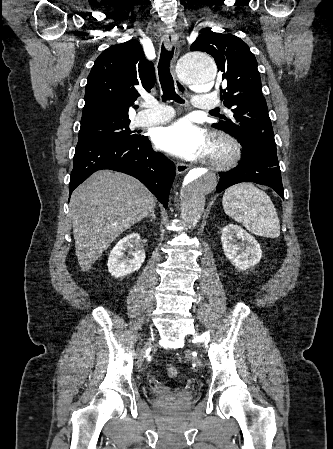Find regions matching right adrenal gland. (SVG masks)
<instances>
[{"label":"right adrenal gland","mask_w":333,"mask_h":449,"mask_svg":"<svg viewBox=\"0 0 333 449\" xmlns=\"http://www.w3.org/2000/svg\"><path fill=\"white\" fill-rule=\"evenodd\" d=\"M149 217H151L152 219H156L155 211H154V210L151 212V214L149 215Z\"/></svg>","instance_id":"right-adrenal-gland-1"}]
</instances>
